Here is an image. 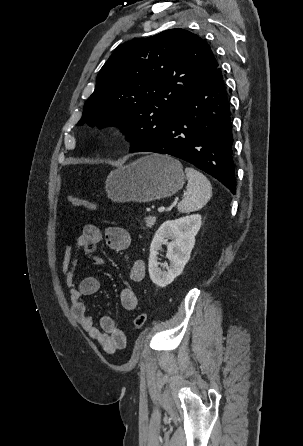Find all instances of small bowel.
Instances as JSON below:
<instances>
[{
  "mask_svg": "<svg viewBox=\"0 0 303 446\" xmlns=\"http://www.w3.org/2000/svg\"><path fill=\"white\" fill-rule=\"evenodd\" d=\"M102 241H105L106 245L113 251L120 252L129 247L131 236L122 227H108L103 234L96 225L87 224L84 226L75 246L66 245L64 247L61 269L66 285L70 289V303L73 316L84 331L97 341L106 353L113 354L126 348V333L117 325L114 317L110 315L102 316L99 320V326L94 325L93 318L87 311L83 297L97 293L100 289V282L94 276H85L78 279L76 274L80 262V251H83L97 265L104 262L101 257L94 254L98 244ZM145 275V262L141 259L134 260L129 268L130 279L134 282H140L145 278ZM120 302L125 310L133 311L138 306V297L132 288L126 287L120 293Z\"/></svg>",
  "mask_w": 303,
  "mask_h": 446,
  "instance_id": "obj_1",
  "label": "small bowel"
}]
</instances>
